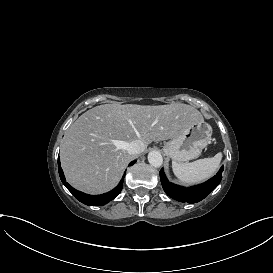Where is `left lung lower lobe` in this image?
Listing matches in <instances>:
<instances>
[{
  "label": "left lung lower lobe",
  "mask_w": 273,
  "mask_h": 273,
  "mask_svg": "<svg viewBox=\"0 0 273 273\" xmlns=\"http://www.w3.org/2000/svg\"><path fill=\"white\" fill-rule=\"evenodd\" d=\"M224 167H221L220 171L207 182L191 187L185 188L170 183L163 169L160 171V180L165 193L179 202L197 203L204 199L209 193H211L220 183L222 179V172Z\"/></svg>",
  "instance_id": "left-lung-lower-lobe-1"
}]
</instances>
